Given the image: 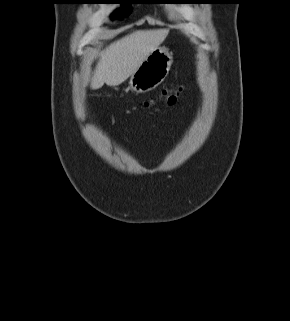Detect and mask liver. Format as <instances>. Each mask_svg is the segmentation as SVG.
Wrapping results in <instances>:
<instances>
[{"mask_svg": "<svg viewBox=\"0 0 290 321\" xmlns=\"http://www.w3.org/2000/svg\"><path fill=\"white\" fill-rule=\"evenodd\" d=\"M168 32L167 29L135 31L111 43L101 55L91 88L99 89L104 83L108 86L123 83L163 43Z\"/></svg>", "mask_w": 290, "mask_h": 321, "instance_id": "1", "label": "liver"}]
</instances>
